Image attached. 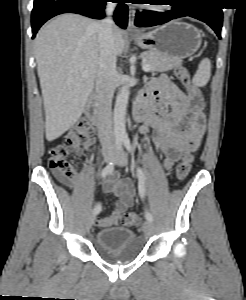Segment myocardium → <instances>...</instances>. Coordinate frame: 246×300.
<instances>
[{
  "instance_id": "obj_1",
  "label": "myocardium",
  "mask_w": 246,
  "mask_h": 300,
  "mask_svg": "<svg viewBox=\"0 0 246 300\" xmlns=\"http://www.w3.org/2000/svg\"><path fill=\"white\" fill-rule=\"evenodd\" d=\"M164 5H166V6H164V8H163V9H166L167 7H169V6H167V4H164Z\"/></svg>"
}]
</instances>
